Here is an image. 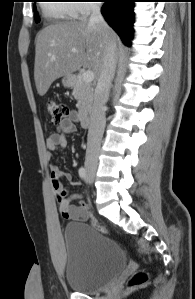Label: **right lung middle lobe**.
Instances as JSON below:
<instances>
[{"label":"right lung middle lobe","instance_id":"dd1d6c3e","mask_svg":"<svg viewBox=\"0 0 195 299\" xmlns=\"http://www.w3.org/2000/svg\"><path fill=\"white\" fill-rule=\"evenodd\" d=\"M34 9H35V6H34ZM35 20H36V22H39V19L37 17H35Z\"/></svg>","mask_w":195,"mask_h":299}]
</instances>
